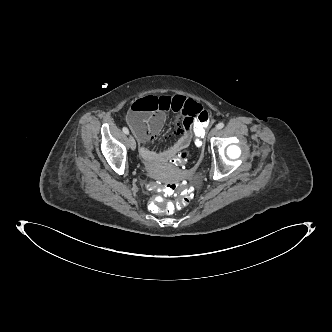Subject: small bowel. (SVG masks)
<instances>
[{
  "label": "small bowel",
  "mask_w": 332,
  "mask_h": 332,
  "mask_svg": "<svg viewBox=\"0 0 332 332\" xmlns=\"http://www.w3.org/2000/svg\"><path fill=\"white\" fill-rule=\"evenodd\" d=\"M203 111L200 103L182 95L142 97L132 104L127 115V122L135 134L140 147L141 157L148 163L156 160L170 159L180 151L187 150L192 143V129L197 116ZM174 112L180 118V127L176 132V140L168 141L163 151L157 153L145 147L161 132L166 114Z\"/></svg>",
  "instance_id": "1"
}]
</instances>
